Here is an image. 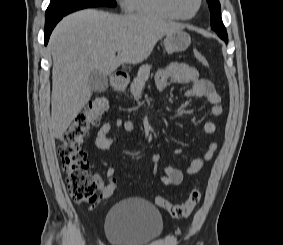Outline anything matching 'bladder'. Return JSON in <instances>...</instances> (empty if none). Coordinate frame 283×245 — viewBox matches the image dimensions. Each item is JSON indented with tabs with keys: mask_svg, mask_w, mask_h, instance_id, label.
Here are the masks:
<instances>
[{
	"mask_svg": "<svg viewBox=\"0 0 283 245\" xmlns=\"http://www.w3.org/2000/svg\"><path fill=\"white\" fill-rule=\"evenodd\" d=\"M163 230L160 211L140 198L119 201L106 216L105 232L112 245H149L162 236Z\"/></svg>",
	"mask_w": 283,
	"mask_h": 245,
	"instance_id": "31cf9c89",
	"label": "bladder"
}]
</instances>
